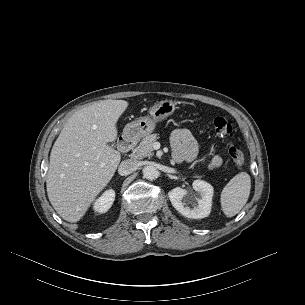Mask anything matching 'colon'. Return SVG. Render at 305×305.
Returning a JSON list of instances; mask_svg holds the SVG:
<instances>
[{"label": "colon", "instance_id": "obj_1", "mask_svg": "<svg viewBox=\"0 0 305 305\" xmlns=\"http://www.w3.org/2000/svg\"><path fill=\"white\" fill-rule=\"evenodd\" d=\"M215 133L225 139L228 142L229 145V155L233 162L235 163L236 167L238 169H241L244 165V154L243 152L238 149L234 142L232 141L233 133H232V126L228 120L222 117H217L213 121Z\"/></svg>", "mask_w": 305, "mask_h": 305}]
</instances>
